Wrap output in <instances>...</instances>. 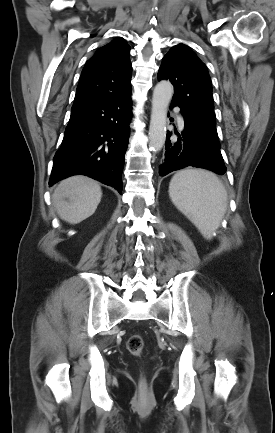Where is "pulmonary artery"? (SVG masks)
<instances>
[{"label": "pulmonary artery", "mask_w": 275, "mask_h": 433, "mask_svg": "<svg viewBox=\"0 0 275 433\" xmlns=\"http://www.w3.org/2000/svg\"><path fill=\"white\" fill-rule=\"evenodd\" d=\"M178 123H179V126H180V127H183V125H184V120H183V117H182L181 115L178 116Z\"/></svg>", "instance_id": "obj_1"}]
</instances>
